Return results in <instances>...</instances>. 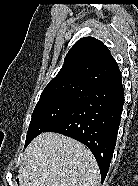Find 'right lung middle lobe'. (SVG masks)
Returning a JSON list of instances; mask_svg holds the SVG:
<instances>
[{
    "instance_id": "right-lung-middle-lobe-1",
    "label": "right lung middle lobe",
    "mask_w": 138,
    "mask_h": 186,
    "mask_svg": "<svg viewBox=\"0 0 138 186\" xmlns=\"http://www.w3.org/2000/svg\"><path fill=\"white\" fill-rule=\"evenodd\" d=\"M92 89L74 85L42 92L33 111L25 147L39 134L46 132L70 111L84 103Z\"/></svg>"
}]
</instances>
